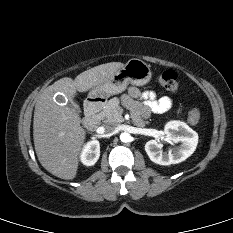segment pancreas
Listing matches in <instances>:
<instances>
[{
  "mask_svg": "<svg viewBox=\"0 0 233 233\" xmlns=\"http://www.w3.org/2000/svg\"><path fill=\"white\" fill-rule=\"evenodd\" d=\"M99 117L104 122L109 123H121L123 122L122 109L119 106V99L113 98L108 101L104 109L99 113Z\"/></svg>",
  "mask_w": 233,
  "mask_h": 233,
  "instance_id": "1",
  "label": "pancreas"
}]
</instances>
